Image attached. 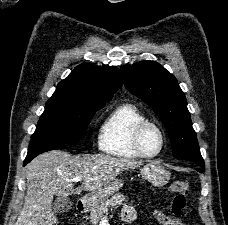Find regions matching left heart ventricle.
<instances>
[{"label": "left heart ventricle", "instance_id": "b2bd125f", "mask_svg": "<svg viewBox=\"0 0 228 225\" xmlns=\"http://www.w3.org/2000/svg\"><path fill=\"white\" fill-rule=\"evenodd\" d=\"M143 145L148 153H156L161 146V136L159 132L153 128L148 129L143 137Z\"/></svg>", "mask_w": 228, "mask_h": 225}]
</instances>
